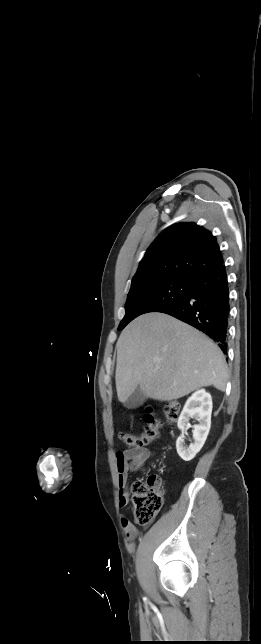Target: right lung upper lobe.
<instances>
[{
	"label": "right lung upper lobe",
	"mask_w": 261,
	"mask_h": 644,
	"mask_svg": "<svg viewBox=\"0 0 261 644\" xmlns=\"http://www.w3.org/2000/svg\"><path fill=\"white\" fill-rule=\"evenodd\" d=\"M223 263L216 238L194 223L176 224L147 249L131 288L161 279L192 280Z\"/></svg>",
	"instance_id": "right-lung-upper-lobe-1"
}]
</instances>
